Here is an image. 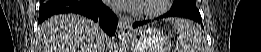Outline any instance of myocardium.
Segmentation results:
<instances>
[{
  "instance_id": "obj_1",
  "label": "myocardium",
  "mask_w": 261,
  "mask_h": 52,
  "mask_svg": "<svg viewBox=\"0 0 261 52\" xmlns=\"http://www.w3.org/2000/svg\"><path fill=\"white\" fill-rule=\"evenodd\" d=\"M154 5H147L146 2L141 3L135 9L131 10L135 15L141 18H155L164 14L168 9L169 0H154Z\"/></svg>"
}]
</instances>
